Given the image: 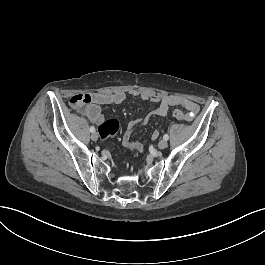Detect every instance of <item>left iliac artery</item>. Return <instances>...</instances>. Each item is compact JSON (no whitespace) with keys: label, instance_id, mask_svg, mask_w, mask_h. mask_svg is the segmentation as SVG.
Listing matches in <instances>:
<instances>
[{"label":"left iliac artery","instance_id":"obj_1","mask_svg":"<svg viewBox=\"0 0 265 265\" xmlns=\"http://www.w3.org/2000/svg\"><path fill=\"white\" fill-rule=\"evenodd\" d=\"M163 139H164V140H168V139H169V135H168V134H165V135L163 136Z\"/></svg>","mask_w":265,"mask_h":265}]
</instances>
